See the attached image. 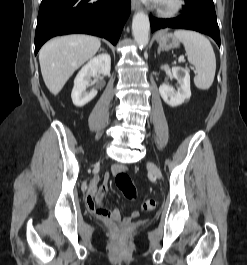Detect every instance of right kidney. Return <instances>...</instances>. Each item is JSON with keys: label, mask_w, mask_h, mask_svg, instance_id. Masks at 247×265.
Here are the masks:
<instances>
[{"label": "right kidney", "mask_w": 247, "mask_h": 265, "mask_svg": "<svg viewBox=\"0 0 247 265\" xmlns=\"http://www.w3.org/2000/svg\"><path fill=\"white\" fill-rule=\"evenodd\" d=\"M110 70L111 58L107 53L92 58L84 65L74 80V87L71 93L73 104L76 107H83L90 102L97 95L96 89H92L90 92L87 91L90 85V78L98 73L107 76L110 74Z\"/></svg>", "instance_id": "ca27d5eb"}]
</instances>
